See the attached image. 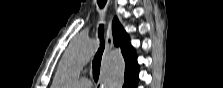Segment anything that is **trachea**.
I'll list each match as a JSON object with an SVG mask.
<instances>
[{
    "mask_svg": "<svg viewBox=\"0 0 223 88\" xmlns=\"http://www.w3.org/2000/svg\"><path fill=\"white\" fill-rule=\"evenodd\" d=\"M97 3L100 8H103L106 4V0H97ZM99 38L101 40L100 48L98 49L96 55L94 56L93 59V78L94 81L97 82L100 74V65H101V59H102V54L105 48V44L103 41V25L99 26V32H98Z\"/></svg>",
    "mask_w": 223,
    "mask_h": 88,
    "instance_id": "trachea-1",
    "label": "trachea"
}]
</instances>
